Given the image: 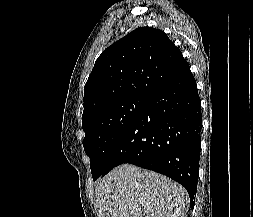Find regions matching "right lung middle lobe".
<instances>
[{"mask_svg":"<svg viewBox=\"0 0 253 217\" xmlns=\"http://www.w3.org/2000/svg\"><path fill=\"white\" fill-rule=\"evenodd\" d=\"M148 98L129 97L110 104L82 123L85 132L83 146L91 158L93 180L106 169L107 160L122 135L143 109Z\"/></svg>","mask_w":253,"mask_h":217,"instance_id":"obj_1","label":"right lung middle lobe"}]
</instances>
